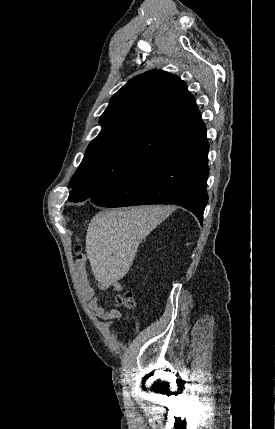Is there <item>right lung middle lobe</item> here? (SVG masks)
Here are the masks:
<instances>
[{
    "label": "right lung middle lobe",
    "mask_w": 275,
    "mask_h": 429,
    "mask_svg": "<svg viewBox=\"0 0 275 429\" xmlns=\"http://www.w3.org/2000/svg\"><path fill=\"white\" fill-rule=\"evenodd\" d=\"M149 156L126 148H108L83 158L71 178L69 201L101 195L133 173Z\"/></svg>",
    "instance_id": "dd1d6c3e"
}]
</instances>
